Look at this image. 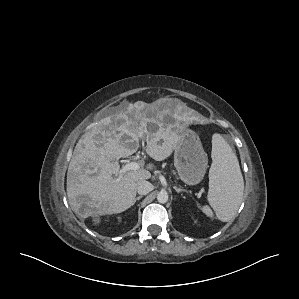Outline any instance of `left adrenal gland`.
<instances>
[{
    "label": "left adrenal gland",
    "instance_id": "a2214340",
    "mask_svg": "<svg viewBox=\"0 0 299 299\" xmlns=\"http://www.w3.org/2000/svg\"><path fill=\"white\" fill-rule=\"evenodd\" d=\"M174 189L176 190L177 193L180 192H187L185 189L181 188V187H174Z\"/></svg>",
    "mask_w": 299,
    "mask_h": 299
}]
</instances>
